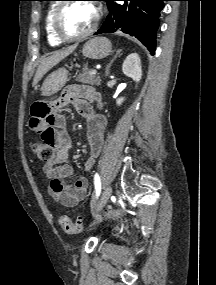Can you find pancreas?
Instances as JSON below:
<instances>
[{"instance_id":"1","label":"pancreas","mask_w":216,"mask_h":285,"mask_svg":"<svg viewBox=\"0 0 216 285\" xmlns=\"http://www.w3.org/2000/svg\"><path fill=\"white\" fill-rule=\"evenodd\" d=\"M91 69L84 68L82 73H79L76 77L77 82L91 85H100L101 79L99 74L90 75Z\"/></svg>"}]
</instances>
